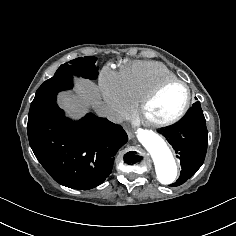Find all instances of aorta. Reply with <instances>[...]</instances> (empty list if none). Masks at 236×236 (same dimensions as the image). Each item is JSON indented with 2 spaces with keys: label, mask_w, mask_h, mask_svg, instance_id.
Segmentation results:
<instances>
[{
  "label": "aorta",
  "mask_w": 236,
  "mask_h": 236,
  "mask_svg": "<svg viewBox=\"0 0 236 236\" xmlns=\"http://www.w3.org/2000/svg\"><path fill=\"white\" fill-rule=\"evenodd\" d=\"M137 138L150 153L159 182L164 185L172 184L177 177V166L166 142L151 130L139 129Z\"/></svg>",
  "instance_id": "obj_1"
}]
</instances>
